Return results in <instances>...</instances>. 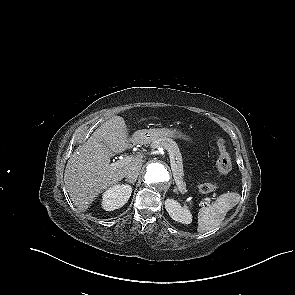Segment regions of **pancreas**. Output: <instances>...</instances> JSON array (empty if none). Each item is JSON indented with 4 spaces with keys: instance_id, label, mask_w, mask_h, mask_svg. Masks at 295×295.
<instances>
[{
    "instance_id": "obj_1",
    "label": "pancreas",
    "mask_w": 295,
    "mask_h": 295,
    "mask_svg": "<svg viewBox=\"0 0 295 295\" xmlns=\"http://www.w3.org/2000/svg\"><path fill=\"white\" fill-rule=\"evenodd\" d=\"M162 146L164 149L167 151H170L173 154L174 161H175V166L173 171L174 179L176 182L179 183V191L182 193H185L186 190V185L185 182L183 181V176H184V171H183V164H182V156L179 151L178 145L174 140L171 138H162L159 140H156L151 143L152 148H157Z\"/></svg>"
}]
</instances>
